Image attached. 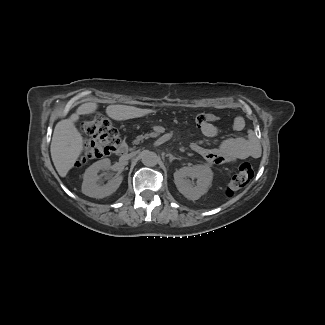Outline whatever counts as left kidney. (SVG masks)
Instances as JSON below:
<instances>
[{
	"label": "left kidney",
	"instance_id": "1",
	"mask_svg": "<svg viewBox=\"0 0 325 325\" xmlns=\"http://www.w3.org/2000/svg\"><path fill=\"white\" fill-rule=\"evenodd\" d=\"M189 178L197 179L192 185ZM213 180V172L208 165L182 167L174 173V183L178 191L190 200H198L207 193Z\"/></svg>",
	"mask_w": 325,
	"mask_h": 325
}]
</instances>
